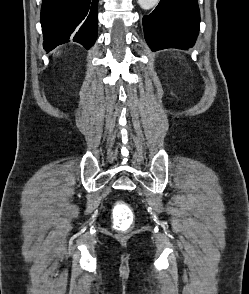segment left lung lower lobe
Segmentation results:
<instances>
[{"instance_id": "left-lung-lower-lobe-1", "label": "left lung lower lobe", "mask_w": 249, "mask_h": 294, "mask_svg": "<svg viewBox=\"0 0 249 294\" xmlns=\"http://www.w3.org/2000/svg\"><path fill=\"white\" fill-rule=\"evenodd\" d=\"M197 0H162L143 18L145 38L152 51L191 48L198 35Z\"/></svg>"}]
</instances>
